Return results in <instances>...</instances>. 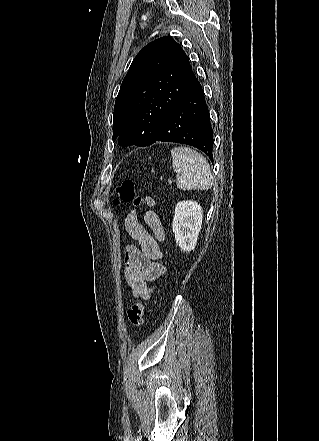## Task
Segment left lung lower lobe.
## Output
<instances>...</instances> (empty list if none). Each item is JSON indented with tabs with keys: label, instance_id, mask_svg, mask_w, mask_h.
Listing matches in <instances>:
<instances>
[{
	"label": "left lung lower lobe",
	"instance_id": "obj_1",
	"mask_svg": "<svg viewBox=\"0 0 319 441\" xmlns=\"http://www.w3.org/2000/svg\"><path fill=\"white\" fill-rule=\"evenodd\" d=\"M175 142L196 147L213 162V128L200 82L194 76L185 92L162 122L152 143ZM119 145L129 146L120 142Z\"/></svg>",
	"mask_w": 319,
	"mask_h": 441
}]
</instances>
